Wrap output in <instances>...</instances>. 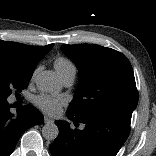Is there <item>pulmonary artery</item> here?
Here are the masks:
<instances>
[{"instance_id":"e3ab8cb5","label":"pulmonary artery","mask_w":156,"mask_h":156,"mask_svg":"<svg viewBox=\"0 0 156 156\" xmlns=\"http://www.w3.org/2000/svg\"><path fill=\"white\" fill-rule=\"evenodd\" d=\"M75 74H76V71L72 70V71L66 73L62 77V81H63L65 86L69 87L73 84L74 79H75Z\"/></svg>"}]
</instances>
